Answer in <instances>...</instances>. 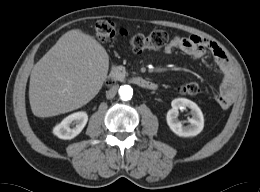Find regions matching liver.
I'll use <instances>...</instances> for the list:
<instances>
[{"label":"liver","instance_id":"liver-1","mask_svg":"<svg viewBox=\"0 0 260 192\" xmlns=\"http://www.w3.org/2000/svg\"><path fill=\"white\" fill-rule=\"evenodd\" d=\"M108 69L109 56L95 38L80 29L66 32L32 69V113L51 117L82 107L98 94Z\"/></svg>","mask_w":260,"mask_h":192}]
</instances>
